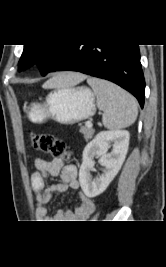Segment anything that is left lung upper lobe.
I'll return each mask as SVG.
<instances>
[{
  "mask_svg": "<svg viewBox=\"0 0 166 267\" xmlns=\"http://www.w3.org/2000/svg\"><path fill=\"white\" fill-rule=\"evenodd\" d=\"M65 45H24V51L18 63L19 71L37 63L42 75H46L57 60Z\"/></svg>",
  "mask_w": 166,
  "mask_h": 267,
  "instance_id": "left-lung-upper-lobe-1",
  "label": "left lung upper lobe"
}]
</instances>
